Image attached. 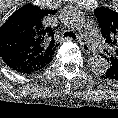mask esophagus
<instances>
[{
  "mask_svg": "<svg viewBox=\"0 0 118 118\" xmlns=\"http://www.w3.org/2000/svg\"><path fill=\"white\" fill-rule=\"evenodd\" d=\"M79 45L86 54H90L92 52L91 47L85 42L79 41Z\"/></svg>",
  "mask_w": 118,
  "mask_h": 118,
  "instance_id": "esophagus-1",
  "label": "esophagus"
}]
</instances>
